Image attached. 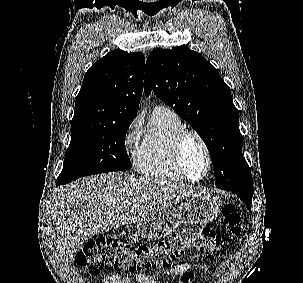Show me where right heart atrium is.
<instances>
[{
	"label": "right heart atrium",
	"instance_id": "obj_1",
	"mask_svg": "<svg viewBox=\"0 0 303 283\" xmlns=\"http://www.w3.org/2000/svg\"><path fill=\"white\" fill-rule=\"evenodd\" d=\"M141 128V121L135 118L127 127L124 134V143L127 147H132L136 144Z\"/></svg>",
	"mask_w": 303,
	"mask_h": 283
}]
</instances>
